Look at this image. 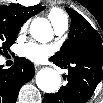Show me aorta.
I'll use <instances>...</instances> for the list:
<instances>
[{
  "mask_svg": "<svg viewBox=\"0 0 103 103\" xmlns=\"http://www.w3.org/2000/svg\"><path fill=\"white\" fill-rule=\"evenodd\" d=\"M51 25L45 18H37L30 25V33L37 40H44L51 34ZM61 83L59 73L54 69H42L36 74V84L45 93H54Z\"/></svg>",
  "mask_w": 103,
  "mask_h": 103,
  "instance_id": "obj_1",
  "label": "aorta"
}]
</instances>
